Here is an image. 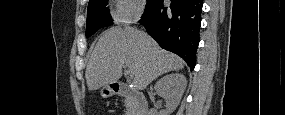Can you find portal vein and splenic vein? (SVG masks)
<instances>
[{
    "mask_svg": "<svg viewBox=\"0 0 285 115\" xmlns=\"http://www.w3.org/2000/svg\"><path fill=\"white\" fill-rule=\"evenodd\" d=\"M125 73H126L127 76L132 77V74H131V72L129 70H126Z\"/></svg>",
    "mask_w": 285,
    "mask_h": 115,
    "instance_id": "obj_1",
    "label": "portal vein and splenic vein"
}]
</instances>
